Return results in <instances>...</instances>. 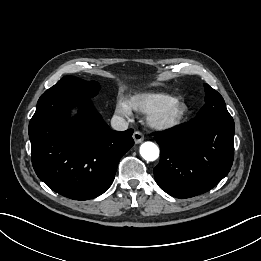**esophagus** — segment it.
I'll use <instances>...</instances> for the list:
<instances>
[{"label":"esophagus","mask_w":261,"mask_h":261,"mask_svg":"<svg viewBox=\"0 0 261 261\" xmlns=\"http://www.w3.org/2000/svg\"><path fill=\"white\" fill-rule=\"evenodd\" d=\"M133 139H134V142L136 143V144H139V143H141L143 140H144V136H143V134L141 133V132H139V131H135L134 133H133Z\"/></svg>","instance_id":"34e87169"}]
</instances>
